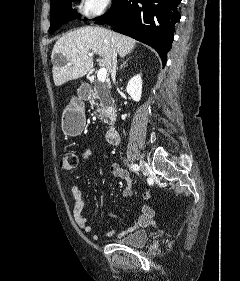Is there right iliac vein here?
<instances>
[{"label": "right iliac vein", "instance_id": "obj_1", "mask_svg": "<svg viewBox=\"0 0 240 281\" xmlns=\"http://www.w3.org/2000/svg\"><path fill=\"white\" fill-rule=\"evenodd\" d=\"M140 167L145 175L149 174L150 167L145 161L140 160Z\"/></svg>", "mask_w": 240, "mask_h": 281}]
</instances>
